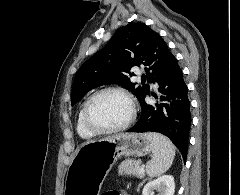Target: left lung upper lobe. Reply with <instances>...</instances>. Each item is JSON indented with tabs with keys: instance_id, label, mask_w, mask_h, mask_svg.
<instances>
[{
	"instance_id": "1",
	"label": "left lung upper lobe",
	"mask_w": 240,
	"mask_h": 195,
	"mask_svg": "<svg viewBox=\"0 0 240 195\" xmlns=\"http://www.w3.org/2000/svg\"><path fill=\"white\" fill-rule=\"evenodd\" d=\"M172 53L164 40L143 23H130L121 27L110 42L82 64L75 75L71 104L81 100L90 90L109 84H118L130 90L141 106L149 93V85L136 86L130 81L134 66H145L148 82L167 64Z\"/></svg>"
}]
</instances>
